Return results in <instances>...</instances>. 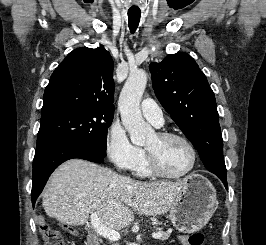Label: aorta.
Listing matches in <instances>:
<instances>
[{"label":"aorta","mask_w":266,"mask_h":245,"mask_svg":"<svg viewBox=\"0 0 266 245\" xmlns=\"http://www.w3.org/2000/svg\"><path fill=\"white\" fill-rule=\"evenodd\" d=\"M146 84L147 74L144 70L129 72L118 100L122 123L130 135L131 143L138 147L145 145L148 137L154 133L151 125L145 123L140 110V100Z\"/></svg>","instance_id":"aorta-1"}]
</instances>
